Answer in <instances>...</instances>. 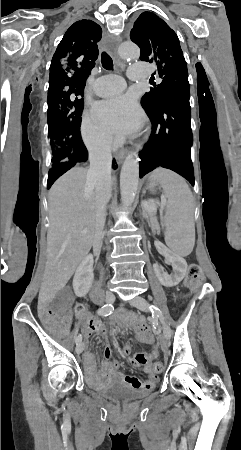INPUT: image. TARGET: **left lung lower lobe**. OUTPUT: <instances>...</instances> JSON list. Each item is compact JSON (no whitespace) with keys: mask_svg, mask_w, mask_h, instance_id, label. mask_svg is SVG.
Segmentation results:
<instances>
[{"mask_svg":"<svg viewBox=\"0 0 241 450\" xmlns=\"http://www.w3.org/2000/svg\"><path fill=\"white\" fill-rule=\"evenodd\" d=\"M189 95H180L160 108L146 111L152 133L139 153L140 177L157 167L171 169L194 185L191 161V108Z\"/></svg>","mask_w":241,"mask_h":450,"instance_id":"obj_1","label":"left lung lower lobe"}]
</instances>
